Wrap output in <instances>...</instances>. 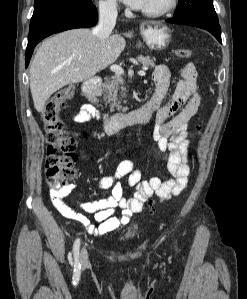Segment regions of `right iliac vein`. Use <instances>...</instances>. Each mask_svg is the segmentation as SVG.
<instances>
[{
    "mask_svg": "<svg viewBox=\"0 0 247 299\" xmlns=\"http://www.w3.org/2000/svg\"><path fill=\"white\" fill-rule=\"evenodd\" d=\"M80 260L82 264H86L88 262V253L85 248H82L81 253H80Z\"/></svg>",
    "mask_w": 247,
    "mask_h": 299,
    "instance_id": "obj_1",
    "label": "right iliac vein"
}]
</instances>
